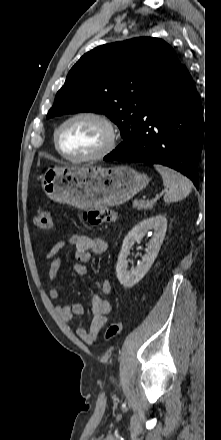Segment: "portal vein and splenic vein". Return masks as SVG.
Masks as SVG:
<instances>
[{"instance_id": "portal-vein-and-splenic-vein-1", "label": "portal vein and splenic vein", "mask_w": 221, "mask_h": 440, "mask_svg": "<svg viewBox=\"0 0 221 440\" xmlns=\"http://www.w3.org/2000/svg\"><path fill=\"white\" fill-rule=\"evenodd\" d=\"M158 198H159V195L156 194L155 197L152 199V201H153V202H156V201L158 200Z\"/></svg>"}]
</instances>
